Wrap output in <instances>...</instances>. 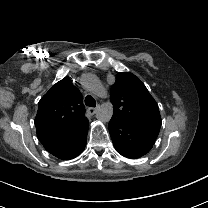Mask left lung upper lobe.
<instances>
[{
	"mask_svg": "<svg viewBox=\"0 0 208 208\" xmlns=\"http://www.w3.org/2000/svg\"><path fill=\"white\" fill-rule=\"evenodd\" d=\"M112 118L131 125L152 144L159 134V108L142 81L130 72H120L111 87Z\"/></svg>",
	"mask_w": 208,
	"mask_h": 208,
	"instance_id": "1",
	"label": "left lung upper lobe"
}]
</instances>
